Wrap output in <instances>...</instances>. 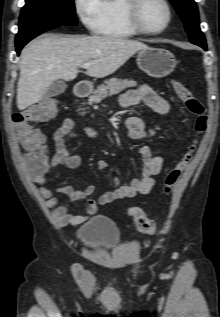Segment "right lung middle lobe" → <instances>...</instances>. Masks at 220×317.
I'll return each instance as SVG.
<instances>
[{
	"label": "right lung middle lobe",
	"mask_w": 220,
	"mask_h": 317,
	"mask_svg": "<svg viewBox=\"0 0 220 317\" xmlns=\"http://www.w3.org/2000/svg\"><path fill=\"white\" fill-rule=\"evenodd\" d=\"M22 8L19 32L16 41H20L34 32L51 27L75 26L74 0H25Z\"/></svg>",
	"instance_id": "dd1d6c3e"
}]
</instances>
